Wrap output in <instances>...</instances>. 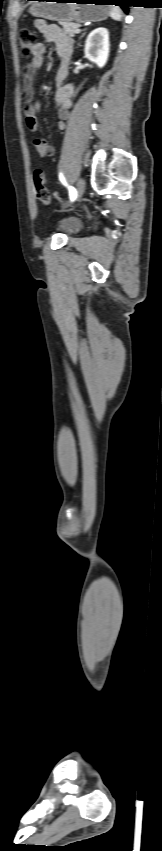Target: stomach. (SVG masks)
Listing matches in <instances>:
<instances>
[{
  "label": "stomach",
  "instance_id": "0dacf381",
  "mask_svg": "<svg viewBox=\"0 0 162 851\" xmlns=\"http://www.w3.org/2000/svg\"><path fill=\"white\" fill-rule=\"evenodd\" d=\"M47 1L33 2L29 8L30 14L52 21L85 23L88 21L97 22L105 20L111 11L110 6L101 5L102 3H99L97 0Z\"/></svg>",
  "mask_w": 162,
  "mask_h": 851
}]
</instances>
